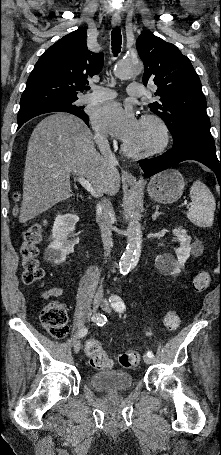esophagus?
Instances as JSON below:
<instances>
[{"instance_id": "1", "label": "esophagus", "mask_w": 221, "mask_h": 455, "mask_svg": "<svg viewBox=\"0 0 221 455\" xmlns=\"http://www.w3.org/2000/svg\"><path fill=\"white\" fill-rule=\"evenodd\" d=\"M111 23L113 26H119L121 24V17L119 15H113ZM123 178L128 182L129 184H135L137 183V179L135 176H133L129 171H125L123 173Z\"/></svg>"}]
</instances>
